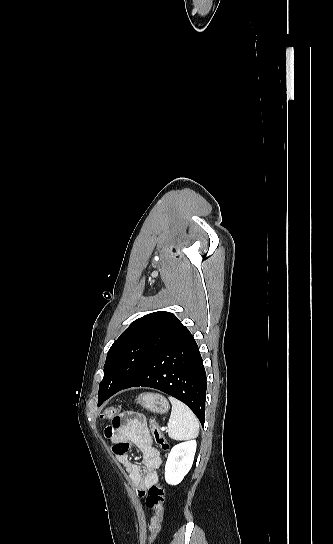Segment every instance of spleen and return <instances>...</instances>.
<instances>
[{
	"instance_id": "spleen-1",
	"label": "spleen",
	"mask_w": 333,
	"mask_h": 544,
	"mask_svg": "<svg viewBox=\"0 0 333 544\" xmlns=\"http://www.w3.org/2000/svg\"><path fill=\"white\" fill-rule=\"evenodd\" d=\"M172 411L168 422V435L176 440L192 439L199 433V423L193 412L181 401L169 397Z\"/></svg>"
}]
</instances>
